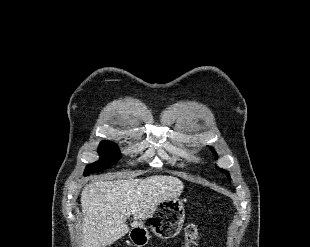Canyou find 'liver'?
<instances>
[{
    "label": "liver",
    "mask_w": 310,
    "mask_h": 247,
    "mask_svg": "<svg viewBox=\"0 0 310 247\" xmlns=\"http://www.w3.org/2000/svg\"><path fill=\"white\" fill-rule=\"evenodd\" d=\"M184 185L176 177L154 175L143 179H100L87 184L81 193L82 247L110 245L129 232L127 218L133 226L150 218L164 200L177 197Z\"/></svg>",
    "instance_id": "1"
}]
</instances>
